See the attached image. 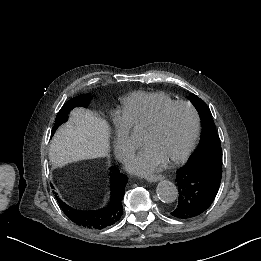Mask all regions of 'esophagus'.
<instances>
[{
  "mask_svg": "<svg viewBox=\"0 0 261 261\" xmlns=\"http://www.w3.org/2000/svg\"><path fill=\"white\" fill-rule=\"evenodd\" d=\"M146 179L149 182H156V181H159V180L163 179V176L162 175L147 176Z\"/></svg>",
  "mask_w": 261,
  "mask_h": 261,
  "instance_id": "34e87169",
  "label": "esophagus"
}]
</instances>
